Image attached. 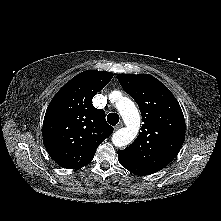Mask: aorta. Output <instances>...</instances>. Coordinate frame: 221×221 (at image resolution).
<instances>
[{
	"instance_id": "762f6f07",
	"label": "aorta",
	"mask_w": 221,
	"mask_h": 221,
	"mask_svg": "<svg viewBox=\"0 0 221 221\" xmlns=\"http://www.w3.org/2000/svg\"><path fill=\"white\" fill-rule=\"evenodd\" d=\"M117 96H120L118 91H114L110 94L111 99ZM116 107L126 127L113 133L112 143L116 147H125L132 143V141L137 137L140 129V115L135 104L128 98L119 97Z\"/></svg>"
}]
</instances>
